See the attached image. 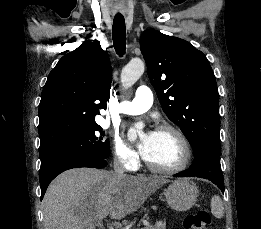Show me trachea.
<instances>
[{
  "label": "trachea",
  "instance_id": "trachea-1",
  "mask_svg": "<svg viewBox=\"0 0 261 229\" xmlns=\"http://www.w3.org/2000/svg\"><path fill=\"white\" fill-rule=\"evenodd\" d=\"M112 36L116 53L123 56L126 50V25L123 16L114 17Z\"/></svg>",
  "mask_w": 261,
  "mask_h": 229
}]
</instances>
